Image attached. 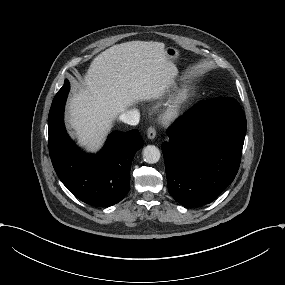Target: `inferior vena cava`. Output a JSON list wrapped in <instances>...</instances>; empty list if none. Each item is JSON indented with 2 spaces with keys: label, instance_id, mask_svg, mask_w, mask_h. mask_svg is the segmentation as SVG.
Masks as SVG:
<instances>
[{
  "label": "inferior vena cava",
  "instance_id": "inferior-vena-cava-1",
  "mask_svg": "<svg viewBox=\"0 0 285 285\" xmlns=\"http://www.w3.org/2000/svg\"><path fill=\"white\" fill-rule=\"evenodd\" d=\"M139 112L134 109H129L125 110L121 115H120V120L123 121L126 124L136 126L139 124Z\"/></svg>",
  "mask_w": 285,
  "mask_h": 285
}]
</instances>
